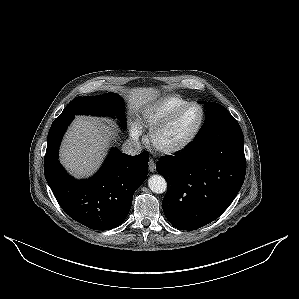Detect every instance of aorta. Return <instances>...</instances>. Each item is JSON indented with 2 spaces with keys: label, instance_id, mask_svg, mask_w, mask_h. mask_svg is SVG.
Here are the masks:
<instances>
[{
  "label": "aorta",
  "instance_id": "aorta-1",
  "mask_svg": "<svg viewBox=\"0 0 299 299\" xmlns=\"http://www.w3.org/2000/svg\"><path fill=\"white\" fill-rule=\"evenodd\" d=\"M148 186L154 193L161 194L167 189V182L161 175H152L148 180Z\"/></svg>",
  "mask_w": 299,
  "mask_h": 299
}]
</instances>
